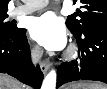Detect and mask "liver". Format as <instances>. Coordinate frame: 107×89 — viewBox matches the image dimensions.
Here are the masks:
<instances>
[{
  "label": "liver",
  "mask_w": 107,
  "mask_h": 89,
  "mask_svg": "<svg viewBox=\"0 0 107 89\" xmlns=\"http://www.w3.org/2000/svg\"><path fill=\"white\" fill-rule=\"evenodd\" d=\"M95 84H90V85H95ZM0 89H26V88L16 79H14L8 75L1 74Z\"/></svg>",
  "instance_id": "6515ba94"
}]
</instances>
